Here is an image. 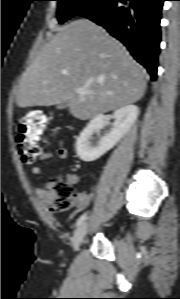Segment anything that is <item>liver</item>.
I'll return each mask as SVG.
<instances>
[{"mask_svg": "<svg viewBox=\"0 0 180 299\" xmlns=\"http://www.w3.org/2000/svg\"><path fill=\"white\" fill-rule=\"evenodd\" d=\"M81 87L93 94H77ZM145 90V70L126 48L102 27L79 19L44 45L22 77L16 102L22 108L66 103L72 116L87 120L139 101Z\"/></svg>", "mask_w": 180, "mask_h": 299, "instance_id": "obj_1", "label": "liver"}]
</instances>
